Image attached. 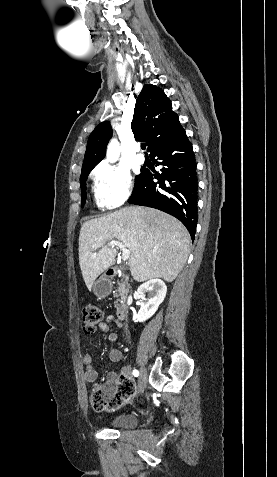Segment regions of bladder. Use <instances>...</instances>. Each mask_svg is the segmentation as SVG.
I'll return each mask as SVG.
<instances>
[{"mask_svg":"<svg viewBox=\"0 0 277 477\" xmlns=\"http://www.w3.org/2000/svg\"><path fill=\"white\" fill-rule=\"evenodd\" d=\"M137 417L134 414H122L110 422L112 428L124 429L132 428L137 424Z\"/></svg>","mask_w":277,"mask_h":477,"instance_id":"31cf9c89","label":"bladder"}]
</instances>
